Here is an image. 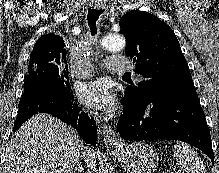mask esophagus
<instances>
[{"instance_id":"esophagus-1","label":"esophagus","mask_w":219,"mask_h":173,"mask_svg":"<svg viewBox=\"0 0 219 173\" xmlns=\"http://www.w3.org/2000/svg\"><path fill=\"white\" fill-rule=\"evenodd\" d=\"M94 8L103 10L105 5L102 3H95ZM100 131L102 134L103 141L106 146H115L121 142V139L115 134L112 126L108 123H102L100 125Z\"/></svg>"}]
</instances>
